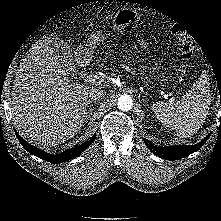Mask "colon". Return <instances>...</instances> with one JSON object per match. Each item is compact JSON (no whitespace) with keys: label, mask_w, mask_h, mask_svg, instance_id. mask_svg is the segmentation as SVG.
I'll list each match as a JSON object with an SVG mask.
<instances>
[{"label":"colon","mask_w":221,"mask_h":221,"mask_svg":"<svg viewBox=\"0 0 221 221\" xmlns=\"http://www.w3.org/2000/svg\"><path fill=\"white\" fill-rule=\"evenodd\" d=\"M171 31L179 41V49L182 58L185 60L191 59L195 52V43L192 38L181 25H172Z\"/></svg>","instance_id":"5ec220e1"}]
</instances>
